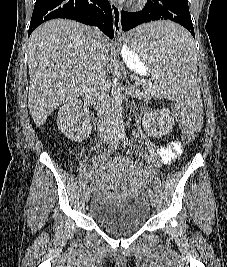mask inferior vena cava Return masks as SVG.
<instances>
[{"label": "inferior vena cava", "instance_id": "inferior-vena-cava-1", "mask_svg": "<svg viewBox=\"0 0 227 267\" xmlns=\"http://www.w3.org/2000/svg\"><path fill=\"white\" fill-rule=\"evenodd\" d=\"M98 39L102 36L98 29H91ZM89 89L94 93L98 107V132L100 137L113 133L111 99L109 96V83L106 77V51L95 43V56L92 71L89 77Z\"/></svg>", "mask_w": 227, "mask_h": 267}]
</instances>
